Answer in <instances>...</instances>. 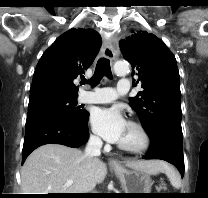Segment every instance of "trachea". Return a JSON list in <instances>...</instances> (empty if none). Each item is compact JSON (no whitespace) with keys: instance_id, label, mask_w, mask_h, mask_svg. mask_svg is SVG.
<instances>
[{"instance_id":"obj_1","label":"trachea","mask_w":208,"mask_h":198,"mask_svg":"<svg viewBox=\"0 0 208 198\" xmlns=\"http://www.w3.org/2000/svg\"><path fill=\"white\" fill-rule=\"evenodd\" d=\"M106 76L108 78H111L112 73H111V68H110V61L109 59L106 58H101L97 62L96 68H95V73L91 80H89V83L92 86L97 85L101 79ZM87 81L83 80L82 84H85Z\"/></svg>"}]
</instances>
